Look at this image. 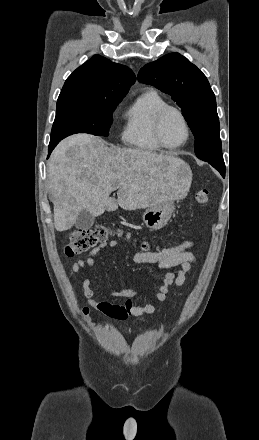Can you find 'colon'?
<instances>
[{"mask_svg":"<svg viewBox=\"0 0 259 440\" xmlns=\"http://www.w3.org/2000/svg\"><path fill=\"white\" fill-rule=\"evenodd\" d=\"M196 201L205 205L209 201V192L205 189L199 190L195 194ZM112 235V231L103 225H97L89 229H77L69 236V241L65 246V254L74 256L101 245ZM146 249L147 246L143 245Z\"/></svg>","mask_w":259,"mask_h":440,"instance_id":"5ec220e1","label":"colon"}]
</instances>
